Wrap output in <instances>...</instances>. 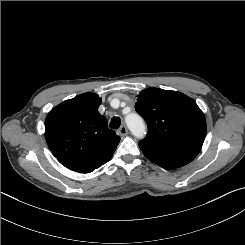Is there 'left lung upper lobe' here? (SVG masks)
Listing matches in <instances>:
<instances>
[{"label":"left lung upper lobe","instance_id":"5c2ea615","mask_svg":"<svg viewBox=\"0 0 245 245\" xmlns=\"http://www.w3.org/2000/svg\"><path fill=\"white\" fill-rule=\"evenodd\" d=\"M135 109L148 126L144 140L197 156L206 136V120L193 99L181 92L151 87L139 93Z\"/></svg>","mask_w":245,"mask_h":245}]
</instances>
